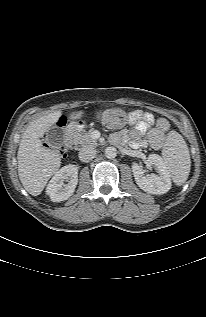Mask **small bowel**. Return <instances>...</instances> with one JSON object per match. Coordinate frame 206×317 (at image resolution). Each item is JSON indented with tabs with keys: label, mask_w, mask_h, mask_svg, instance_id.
I'll use <instances>...</instances> for the list:
<instances>
[{
	"label": "small bowel",
	"mask_w": 206,
	"mask_h": 317,
	"mask_svg": "<svg viewBox=\"0 0 206 317\" xmlns=\"http://www.w3.org/2000/svg\"><path fill=\"white\" fill-rule=\"evenodd\" d=\"M130 121L134 124V128L130 132L115 134L116 140L130 141L132 147L136 149L146 147L148 144L154 149L161 148L170 128L165 118L155 119L149 112L135 110L130 113ZM145 135L147 139L144 138Z\"/></svg>",
	"instance_id": "small-bowel-1"
}]
</instances>
